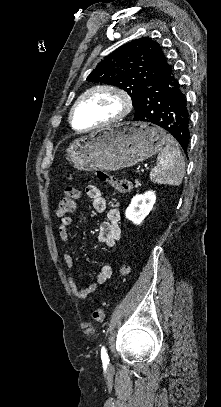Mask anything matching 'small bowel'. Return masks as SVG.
Masks as SVG:
<instances>
[{
  "mask_svg": "<svg viewBox=\"0 0 221 407\" xmlns=\"http://www.w3.org/2000/svg\"><path fill=\"white\" fill-rule=\"evenodd\" d=\"M87 196L92 202L93 208L100 213H106V221L102 222L98 231L99 242L106 246H113L121 237V229L118 225L121 214L120 204L116 198L107 199L103 191L95 185H89L85 189ZM73 223L70 217L62 218L58 225V235L63 244L70 243L68 227ZM66 268V277L71 286L72 292L77 299H85L94 293L100 285L105 284L112 276V269L105 264L101 267L94 282L83 288L78 285L73 275L74 261L70 253L63 255ZM86 324H82L84 328Z\"/></svg>",
  "mask_w": 221,
  "mask_h": 407,
  "instance_id": "1",
  "label": "small bowel"
}]
</instances>
